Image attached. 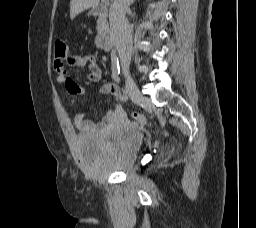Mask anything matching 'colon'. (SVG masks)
Returning <instances> with one entry per match:
<instances>
[{"instance_id":"5ec220e1","label":"colon","mask_w":256,"mask_h":228,"mask_svg":"<svg viewBox=\"0 0 256 228\" xmlns=\"http://www.w3.org/2000/svg\"><path fill=\"white\" fill-rule=\"evenodd\" d=\"M70 50L66 43L62 40H57L54 45V60L59 65H63L70 58ZM134 118L142 126H150L148 120L141 114L135 113Z\"/></svg>"}]
</instances>
